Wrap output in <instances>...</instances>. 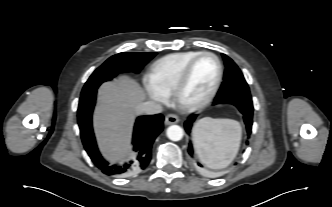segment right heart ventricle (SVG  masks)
<instances>
[{
  "label": "right heart ventricle",
  "instance_id": "1",
  "mask_svg": "<svg viewBox=\"0 0 332 207\" xmlns=\"http://www.w3.org/2000/svg\"><path fill=\"white\" fill-rule=\"evenodd\" d=\"M200 53V51L178 52L158 59L152 64L147 75L150 86L164 96L170 95L185 66Z\"/></svg>",
  "mask_w": 332,
  "mask_h": 207
}]
</instances>
